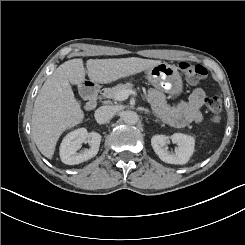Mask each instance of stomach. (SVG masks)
I'll use <instances>...</instances> for the list:
<instances>
[{
  "mask_svg": "<svg viewBox=\"0 0 245 245\" xmlns=\"http://www.w3.org/2000/svg\"><path fill=\"white\" fill-rule=\"evenodd\" d=\"M148 81L157 89L172 96L180 95L183 91L182 79L176 66L166 62L160 63L146 70ZM81 84L79 89H88Z\"/></svg>",
  "mask_w": 245,
  "mask_h": 245,
  "instance_id": "1",
  "label": "stomach"
}]
</instances>
